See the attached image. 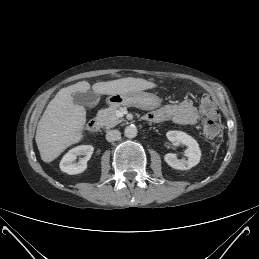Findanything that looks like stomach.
Listing matches in <instances>:
<instances>
[{
  "label": "stomach",
  "mask_w": 259,
  "mask_h": 259,
  "mask_svg": "<svg viewBox=\"0 0 259 259\" xmlns=\"http://www.w3.org/2000/svg\"><path fill=\"white\" fill-rule=\"evenodd\" d=\"M109 106H135L145 110H153L161 106L162 100L153 93L134 91L113 94L107 98Z\"/></svg>",
  "instance_id": "1"
}]
</instances>
